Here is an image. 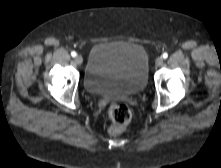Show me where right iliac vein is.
Wrapping results in <instances>:
<instances>
[{
    "instance_id": "obj_1",
    "label": "right iliac vein",
    "mask_w": 221,
    "mask_h": 168,
    "mask_svg": "<svg viewBox=\"0 0 221 168\" xmlns=\"http://www.w3.org/2000/svg\"><path fill=\"white\" fill-rule=\"evenodd\" d=\"M75 62H76V64L81 65L82 62H83L82 56L77 55V56L75 57Z\"/></svg>"
}]
</instances>
